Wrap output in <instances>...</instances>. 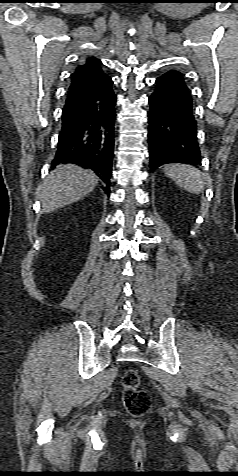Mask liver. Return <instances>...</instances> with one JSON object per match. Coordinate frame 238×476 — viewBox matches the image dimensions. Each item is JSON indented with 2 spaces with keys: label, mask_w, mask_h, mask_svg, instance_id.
Listing matches in <instances>:
<instances>
[{
  "label": "liver",
  "mask_w": 238,
  "mask_h": 476,
  "mask_svg": "<svg viewBox=\"0 0 238 476\" xmlns=\"http://www.w3.org/2000/svg\"><path fill=\"white\" fill-rule=\"evenodd\" d=\"M98 177L77 165L58 166L44 180L38 193L42 213H49L77 202L93 191Z\"/></svg>",
  "instance_id": "1"
}]
</instances>
